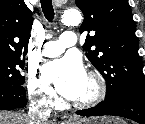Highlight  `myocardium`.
<instances>
[{"instance_id": "1", "label": "myocardium", "mask_w": 145, "mask_h": 124, "mask_svg": "<svg viewBox=\"0 0 145 124\" xmlns=\"http://www.w3.org/2000/svg\"><path fill=\"white\" fill-rule=\"evenodd\" d=\"M90 79L96 83V92L94 96L88 100L75 102L72 101L70 104L77 109H88L101 103L107 94V84L105 78L98 71L92 70L86 74Z\"/></svg>"}]
</instances>
